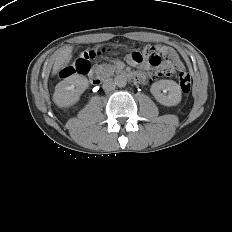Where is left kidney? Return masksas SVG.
I'll use <instances>...</instances> for the list:
<instances>
[{"label":"left kidney","mask_w":232,"mask_h":232,"mask_svg":"<svg viewBox=\"0 0 232 232\" xmlns=\"http://www.w3.org/2000/svg\"><path fill=\"white\" fill-rule=\"evenodd\" d=\"M150 92L164 106H176L181 101L180 86L173 80H159L152 84Z\"/></svg>","instance_id":"obj_1"}]
</instances>
